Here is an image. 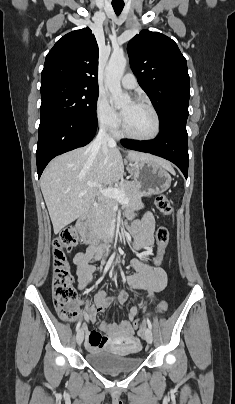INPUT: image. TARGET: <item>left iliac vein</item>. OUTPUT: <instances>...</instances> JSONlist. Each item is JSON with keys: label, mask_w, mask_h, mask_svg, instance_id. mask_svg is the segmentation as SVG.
I'll return each instance as SVG.
<instances>
[{"label": "left iliac vein", "mask_w": 235, "mask_h": 404, "mask_svg": "<svg viewBox=\"0 0 235 404\" xmlns=\"http://www.w3.org/2000/svg\"><path fill=\"white\" fill-rule=\"evenodd\" d=\"M144 335L147 343L151 344L153 342V334L150 328H145Z\"/></svg>", "instance_id": "left-iliac-vein-1"}]
</instances>
